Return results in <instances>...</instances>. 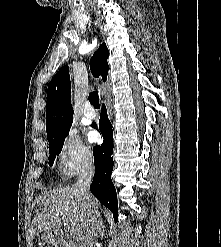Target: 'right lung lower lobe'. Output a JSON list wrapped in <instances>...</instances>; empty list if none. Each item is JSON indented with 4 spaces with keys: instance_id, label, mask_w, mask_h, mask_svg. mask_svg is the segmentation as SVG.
<instances>
[{
    "instance_id": "right-lung-lower-lobe-1",
    "label": "right lung lower lobe",
    "mask_w": 221,
    "mask_h": 247,
    "mask_svg": "<svg viewBox=\"0 0 221 247\" xmlns=\"http://www.w3.org/2000/svg\"><path fill=\"white\" fill-rule=\"evenodd\" d=\"M99 129L104 141L101 146L93 148L95 175L90 190L113 213L115 221H118L117 195L111 180L113 170V130L104 104L102 105Z\"/></svg>"
}]
</instances>
